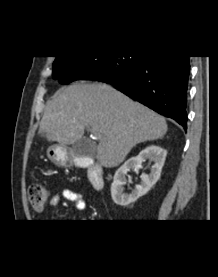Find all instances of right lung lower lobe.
Returning a JSON list of instances; mask_svg holds the SVG:
<instances>
[{
    "label": "right lung lower lobe",
    "mask_w": 218,
    "mask_h": 277,
    "mask_svg": "<svg viewBox=\"0 0 218 277\" xmlns=\"http://www.w3.org/2000/svg\"><path fill=\"white\" fill-rule=\"evenodd\" d=\"M189 72V56L147 55L122 81L104 80L96 76L87 79L105 81L186 128Z\"/></svg>",
    "instance_id": "1"
}]
</instances>
